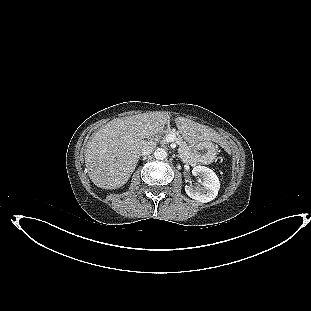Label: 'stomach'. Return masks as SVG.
Returning <instances> with one entry per match:
<instances>
[{
    "label": "stomach",
    "mask_w": 311,
    "mask_h": 311,
    "mask_svg": "<svg viewBox=\"0 0 311 311\" xmlns=\"http://www.w3.org/2000/svg\"><path fill=\"white\" fill-rule=\"evenodd\" d=\"M184 138L191 144L194 155L199 161L211 163L216 158L217 147L209 139H198L189 132L180 131Z\"/></svg>",
    "instance_id": "obj_1"
}]
</instances>
